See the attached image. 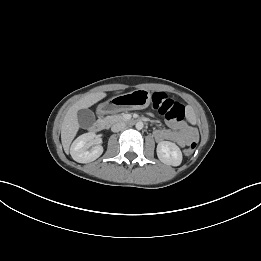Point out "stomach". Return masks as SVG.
Listing matches in <instances>:
<instances>
[{
  "instance_id": "stomach-1",
  "label": "stomach",
  "mask_w": 261,
  "mask_h": 261,
  "mask_svg": "<svg viewBox=\"0 0 261 261\" xmlns=\"http://www.w3.org/2000/svg\"><path fill=\"white\" fill-rule=\"evenodd\" d=\"M151 102L148 90L138 89L132 92L117 95L102 103L98 107L101 114H113L125 110L145 109Z\"/></svg>"
}]
</instances>
